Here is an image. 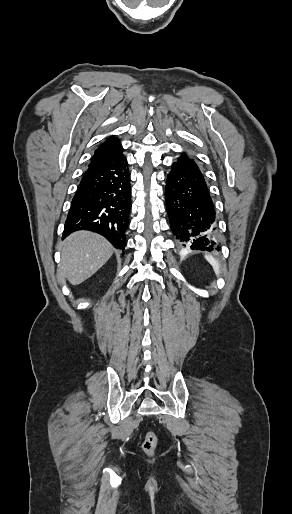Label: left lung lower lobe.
<instances>
[{
    "label": "left lung lower lobe",
    "mask_w": 292,
    "mask_h": 514,
    "mask_svg": "<svg viewBox=\"0 0 292 514\" xmlns=\"http://www.w3.org/2000/svg\"><path fill=\"white\" fill-rule=\"evenodd\" d=\"M165 198L178 243L191 249L214 250L218 241L214 204L197 161L187 153H181L171 166Z\"/></svg>",
    "instance_id": "obj_1"
}]
</instances>
